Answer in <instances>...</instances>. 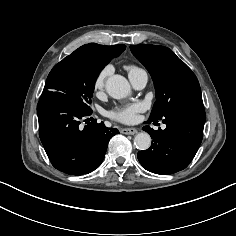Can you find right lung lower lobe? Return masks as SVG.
<instances>
[{"label":"right lung lower lobe","mask_w":236,"mask_h":236,"mask_svg":"<svg viewBox=\"0 0 236 236\" xmlns=\"http://www.w3.org/2000/svg\"><path fill=\"white\" fill-rule=\"evenodd\" d=\"M91 113L63 93H42L37 105L39 136L50 162L59 171L82 175L95 170L105 157L110 138L119 133L96 120L81 129L80 119Z\"/></svg>","instance_id":"1"}]
</instances>
